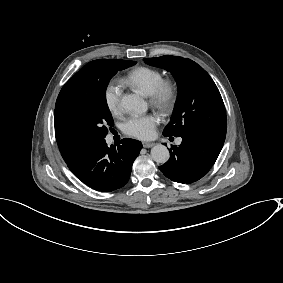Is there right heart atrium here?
<instances>
[{
  "label": "right heart atrium",
  "instance_id": "d8ad5b80",
  "mask_svg": "<svg viewBox=\"0 0 283 283\" xmlns=\"http://www.w3.org/2000/svg\"><path fill=\"white\" fill-rule=\"evenodd\" d=\"M124 86L117 77L108 79L103 87V99L108 111L117 114L122 110Z\"/></svg>",
  "mask_w": 283,
  "mask_h": 283
}]
</instances>
